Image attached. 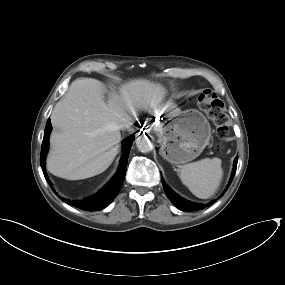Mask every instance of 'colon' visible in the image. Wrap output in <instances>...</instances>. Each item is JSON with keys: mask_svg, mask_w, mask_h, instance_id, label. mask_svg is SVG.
I'll list each match as a JSON object with an SVG mask.
<instances>
[{"mask_svg": "<svg viewBox=\"0 0 285 285\" xmlns=\"http://www.w3.org/2000/svg\"><path fill=\"white\" fill-rule=\"evenodd\" d=\"M201 107L207 116L216 126L218 134L222 135L224 131L225 114L223 112V102L212 96L210 90H204L199 96Z\"/></svg>", "mask_w": 285, "mask_h": 285, "instance_id": "1", "label": "colon"}]
</instances>
